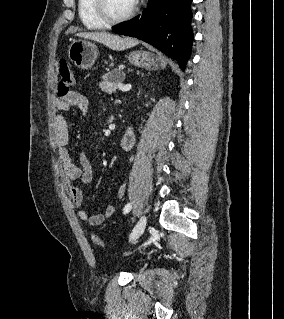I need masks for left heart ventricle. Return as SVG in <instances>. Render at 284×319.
I'll use <instances>...</instances> for the list:
<instances>
[{
	"label": "left heart ventricle",
	"instance_id": "obj_1",
	"mask_svg": "<svg viewBox=\"0 0 284 319\" xmlns=\"http://www.w3.org/2000/svg\"><path fill=\"white\" fill-rule=\"evenodd\" d=\"M107 9L114 17L126 14L133 6L131 0H106Z\"/></svg>",
	"mask_w": 284,
	"mask_h": 319
}]
</instances>
